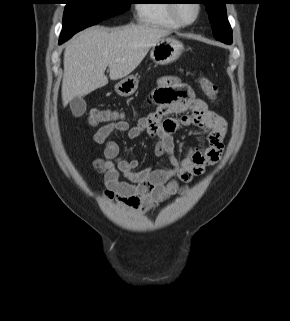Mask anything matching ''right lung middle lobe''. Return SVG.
Listing matches in <instances>:
<instances>
[{
    "label": "right lung middle lobe",
    "instance_id": "1",
    "mask_svg": "<svg viewBox=\"0 0 290 321\" xmlns=\"http://www.w3.org/2000/svg\"><path fill=\"white\" fill-rule=\"evenodd\" d=\"M63 29L60 40L66 41L86 27L109 17L121 14L130 8V0H65Z\"/></svg>",
    "mask_w": 290,
    "mask_h": 321
}]
</instances>
